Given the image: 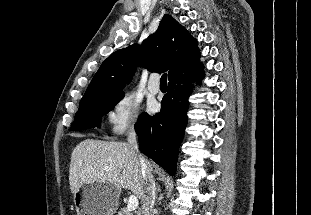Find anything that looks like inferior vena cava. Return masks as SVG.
Returning <instances> with one entry per match:
<instances>
[{
  "label": "inferior vena cava",
  "mask_w": 311,
  "mask_h": 215,
  "mask_svg": "<svg viewBox=\"0 0 311 215\" xmlns=\"http://www.w3.org/2000/svg\"><path fill=\"white\" fill-rule=\"evenodd\" d=\"M127 140L132 152L137 157L138 163L141 168V172L145 179V190L147 196L145 197L142 213L144 215H150V210L152 209L155 200V181L153 179L149 167L147 166L145 158L139 152L136 132L133 129L128 133Z\"/></svg>",
  "instance_id": "602c4592"
}]
</instances>
